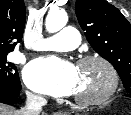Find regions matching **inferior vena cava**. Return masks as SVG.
Here are the masks:
<instances>
[{"label":"inferior vena cava","instance_id":"inferior-vena-cava-1","mask_svg":"<svg viewBox=\"0 0 131 115\" xmlns=\"http://www.w3.org/2000/svg\"><path fill=\"white\" fill-rule=\"evenodd\" d=\"M26 97V105L18 111V115H39L47 100L30 92H26Z\"/></svg>","mask_w":131,"mask_h":115}]
</instances>
